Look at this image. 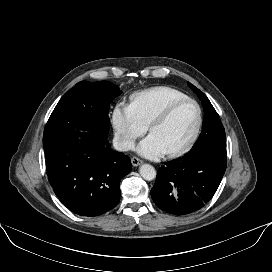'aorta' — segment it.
Returning a JSON list of instances; mask_svg holds the SVG:
<instances>
[{
    "instance_id": "762f6f07",
    "label": "aorta",
    "mask_w": 272,
    "mask_h": 272,
    "mask_svg": "<svg viewBox=\"0 0 272 272\" xmlns=\"http://www.w3.org/2000/svg\"><path fill=\"white\" fill-rule=\"evenodd\" d=\"M139 172L140 175L147 181H151L156 178V170L149 164L141 165Z\"/></svg>"
}]
</instances>
